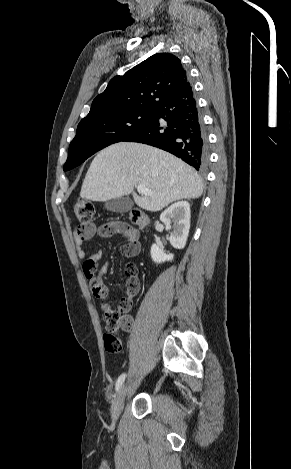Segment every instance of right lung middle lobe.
Returning a JSON list of instances; mask_svg holds the SVG:
<instances>
[{"mask_svg": "<svg viewBox=\"0 0 291 469\" xmlns=\"http://www.w3.org/2000/svg\"><path fill=\"white\" fill-rule=\"evenodd\" d=\"M152 116L153 110L134 109L109 117L82 120L70 144L64 171L80 165L104 147L123 141Z\"/></svg>", "mask_w": 291, "mask_h": 469, "instance_id": "right-lung-middle-lobe-1", "label": "right lung middle lobe"}]
</instances>
